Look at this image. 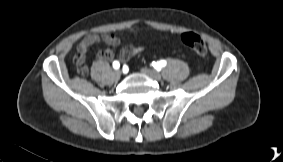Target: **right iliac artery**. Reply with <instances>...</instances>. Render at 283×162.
I'll return each mask as SVG.
<instances>
[{"instance_id": "1", "label": "right iliac artery", "mask_w": 283, "mask_h": 162, "mask_svg": "<svg viewBox=\"0 0 283 162\" xmlns=\"http://www.w3.org/2000/svg\"><path fill=\"white\" fill-rule=\"evenodd\" d=\"M119 67H120L119 62H118V61H114V62H113V68H114V69H118Z\"/></svg>"}]
</instances>
